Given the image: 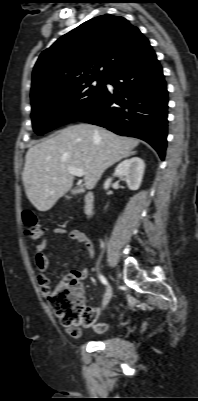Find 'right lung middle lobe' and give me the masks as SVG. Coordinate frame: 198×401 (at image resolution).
Returning <instances> with one entry per match:
<instances>
[{"instance_id":"dd1d6c3e","label":"right lung middle lobe","mask_w":198,"mask_h":401,"mask_svg":"<svg viewBox=\"0 0 198 401\" xmlns=\"http://www.w3.org/2000/svg\"><path fill=\"white\" fill-rule=\"evenodd\" d=\"M88 80L38 95L32 101L33 129L38 135L78 120L87 114L106 90V80Z\"/></svg>"}]
</instances>
